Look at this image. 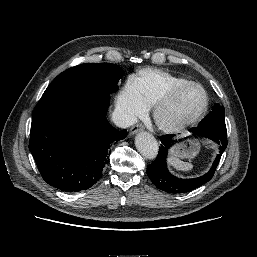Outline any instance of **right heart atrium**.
Here are the masks:
<instances>
[{"instance_id":"right-heart-atrium-1","label":"right heart atrium","mask_w":257,"mask_h":257,"mask_svg":"<svg viewBox=\"0 0 257 257\" xmlns=\"http://www.w3.org/2000/svg\"><path fill=\"white\" fill-rule=\"evenodd\" d=\"M117 108L128 123L134 122L138 117L148 112L149 106L143 99L133 78L128 79L121 88L117 96Z\"/></svg>"}]
</instances>
